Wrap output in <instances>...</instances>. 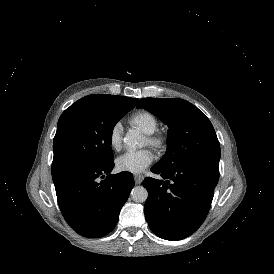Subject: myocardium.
I'll use <instances>...</instances> for the list:
<instances>
[{"label":"myocardium","mask_w":274,"mask_h":274,"mask_svg":"<svg viewBox=\"0 0 274 274\" xmlns=\"http://www.w3.org/2000/svg\"><path fill=\"white\" fill-rule=\"evenodd\" d=\"M147 144L156 150H160L165 147L166 140L161 136H149L147 138Z\"/></svg>","instance_id":"1"}]
</instances>
